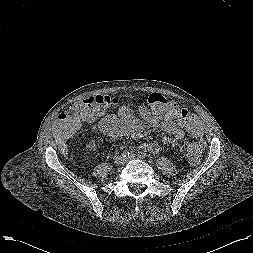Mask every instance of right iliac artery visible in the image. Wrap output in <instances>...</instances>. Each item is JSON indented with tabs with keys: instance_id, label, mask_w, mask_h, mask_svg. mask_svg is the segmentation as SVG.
<instances>
[{
	"instance_id": "obj_1",
	"label": "right iliac artery",
	"mask_w": 253,
	"mask_h": 253,
	"mask_svg": "<svg viewBox=\"0 0 253 253\" xmlns=\"http://www.w3.org/2000/svg\"><path fill=\"white\" fill-rule=\"evenodd\" d=\"M130 155V152L128 150L123 151L122 156L128 157Z\"/></svg>"
}]
</instances>
